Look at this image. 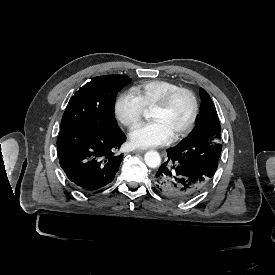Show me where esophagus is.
<instances>
[{
    "label": "esophagus",
    "mask_w": 275,
    "mask_h": 275,
    "mask_svg": "<svg viewBox=\"0 0 275 275\" xmlns=\"http://www.w3.org/2000/svg\"><path fill=\"white\" fill-rule=\"evenodd\" d=\"M145 152V150H141V149H135L134 151H133V153H144Z\"/></svg>",
    "instance_id": "1"
}]
</instances>
